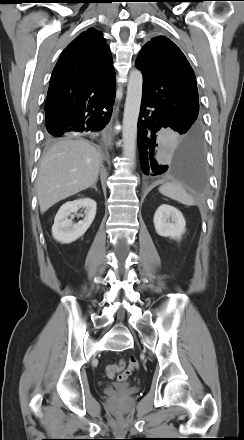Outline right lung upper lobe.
I'll return each mask as SVG.
<instances>
[{"instance_id":"cb5924a9","label":"right lung upper lobe","mask_w":244,"mask_h":440,"mask_svg":"<svg viewBox=\"0 0 244 440\" xmlns=\"http://www.w3.org/2000/svg\"><path fill=\"white\" fill-rule=\"evenodd\" d=\"M114 95L110 50L102 33L90 28L63 50L53 70L44 106L46 119L98 111Z\"/></svg>"}]
</instances>
